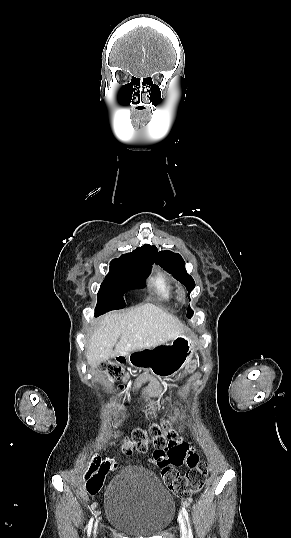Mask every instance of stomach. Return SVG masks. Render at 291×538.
Here are the masks:
<instances>
[{
    "mask_svg": "<svg viewBox=\"0 0 291 538\" xmlns=\"http://www.w3.org/2000/svg\"><path fill=\"white\" fill-rule=\"evenodd\" d=\"M193 352L192 336L182 333L171 343L132 351L127 360L131 366L149 369L156 377L167 380L176 376L184 364L191 363Z\"/></svg>",
    "mask_w": 291,
    "mask_h": 538,
    "instance_id": "0dacf381",
    "label": "stomach"
}]
</instances>
